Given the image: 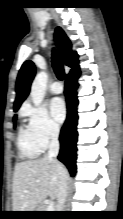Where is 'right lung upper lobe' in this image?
<instances>
[{
	"label": "right lung upper lobe",
	"mask_w": 123,
	"mask_h": 219,
	"mask_svg": "<svg viewBox=\"0 0 123 219\" xmlns=\"http://www.w3.org/2000/svg\"><path fill=\"white\" fill-rule=\"evenodd\" d=\"M55 38L63 62L67 66L72 67L73 68L72 70H74L76 67H78L77 65L78 55L76 52L72 53L71 42L69 41L68 37L60 27H57L55 30ZM34 76H35L34 63L30 60L25 61L19 71L16 81V99L14 102V111H17L19 109L22 102L28 96L30 92L31 82Z\"/></svg>",
	"instance_id": "1"
}]
</instances>
